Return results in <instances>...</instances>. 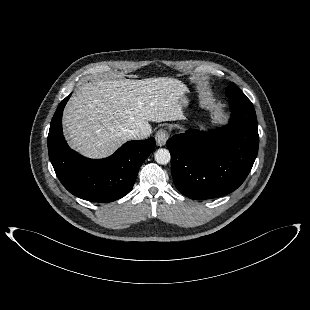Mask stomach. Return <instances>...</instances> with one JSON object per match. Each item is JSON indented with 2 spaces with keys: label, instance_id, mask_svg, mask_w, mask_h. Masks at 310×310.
Here are the masks:
<instances>
[{
  "label": "stomach",
  "instance_id": "stomach-1",
  "mask_svg": "<svg viewBox=\"0 0 310 310\" xmlns=\"http://www.w3.org/2000/svg\"><path fill=\"white\" fill-rule=\"evenodd\" d=\"M183 106H186L188 104V98L186 96L182 97Z\"/></svg>",
  "mask_w": 310,
  "mask_h": 310
}]
</instances>
